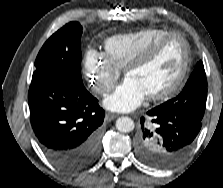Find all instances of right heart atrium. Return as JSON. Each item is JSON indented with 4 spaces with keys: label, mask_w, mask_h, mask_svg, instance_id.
<instances>
[{
    "label": "right heart atrium",
    "mask_w": 223,
    "mask_h": 188,
    "mask_svg": "<svg viewBox=\"0 0 223 188\" xmlns=\"http://www.w3.org/2000/svg\"><path fill=\"white\" fill-rule=\"evenodd\" d=\"M83 73L92 90L105 95L116 84L121 70L105 53L89 50L84 58Z\"/></svg>",
    "instance_id": "right-heart-atrium-1"
}]
</instances>
